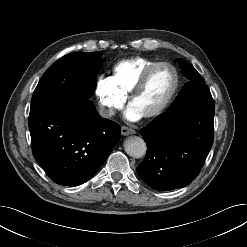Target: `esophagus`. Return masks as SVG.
Wrapping results in <instances>:
<instances>
[{"instance_id":"obj_1","label":"esophagus","mask_w":247,"mask_h":247,"mask_svg":"<svg viewBox=\"0 0 247 247\" xmlns=\"http://www.w3.org/2000/svg\"><path fill=\"white\" fill-rule=\"evenodd\" d=\"M134 133H135V130H133L129 127L122 126V128H121V134L123 136H127V135L134 134Z\"/></svg>"}]
</instances>
